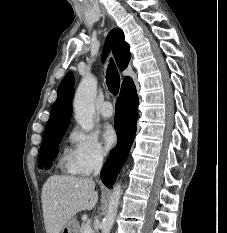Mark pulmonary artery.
I'll list each match as a JSON object with an SVG mask.
<instances>
[{
    "label": "pulmonary artery",
    "instance_id": "obj_1",
    "mask_svg": "<svg viewBox=\"0 0 227 233\" xmlns=\"http://www.w3.org/2000/svg\"><path fill=\"white\" fill-rule=\"evenodd\" d=\"M99 112L102 117L109 118L113 115V107L109 101H105L100 105Z\"/></svg>",
    "mask_w": 227,
    "mask_h": 233
}]
</instances>
